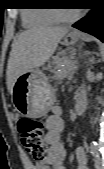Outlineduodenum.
<instances>
[{"instance_id": "1", "label": "duodenum", "mask_w": 104, "mask_h": 169, "mask_svg": "<svg viewBox=\"0 0 104 169\" xmlns=\"http://www.w3.org/2000/svg\"><path fill=\"white\" fill-rule=\"evenodd\" d=\"M87 108V99L84 96H79L76 99L75 111L77 114H83Z\"/></svg>"}]
</instances>
